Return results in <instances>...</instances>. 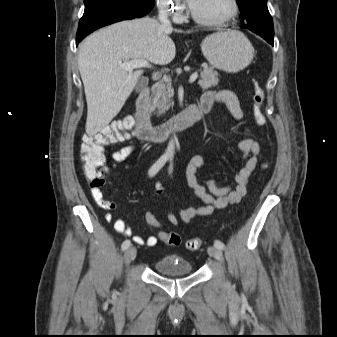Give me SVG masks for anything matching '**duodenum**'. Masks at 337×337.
<instances>
[{"label":"duodenum","instance_id":"duodenum-1","mask_svg":"<svg viewBox=\"0 0 337 337\" xmlns=\"http://www.w3.org/2000/svg\"><path fill=\"white\" fill-rule=\"evenodd\" d=\"M150 95L147 88L142 89L136 100L135 122L136 135L145 141H158L164 139L170 133L193 126L209 110L210 106L199 102L191 104L170 120L152 125L149 121Z\"/></svg>","mask_w":337,"mask_h":337}]
</instances>
